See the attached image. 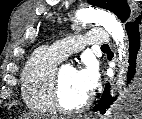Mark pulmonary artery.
Here are the masks:
<instances>
[{
  "instance_id": "pulmonary-artery-1",
  "label": "pulmonary artery",
  "mask_w": 142,
  "mask_h": 119,
  "mask_svg": "<svg viewBox=\"0 0 142 119\" xmlns=\"http://www.w3.org/2000/svg\"><path fill=\"white\" fill-rule=\"evenodd\" d=\"M111 43L110 36L101 28H95L84 35L73 36L56 41L51 48L63 59L80 51L85 45L102 46Z\"/></svg>"
}]
</instances>
